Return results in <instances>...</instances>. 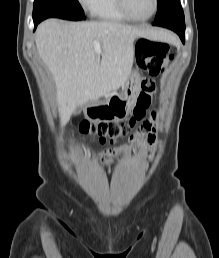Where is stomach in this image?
Returning <instances> with one entry per match:
<instances>
[{"label":"stomach","mask_w":219,"mask_h":258,"mask_svg":"<svg viewBox=\"0 0 219 258\" xmlns=\"http://www.w3.org/2000/svg\"><path fill=\"white\" fill-rule=\"evenodd\" d=\"M141 76L135 69L121 91H112L104 99L90 101L84 109L85 116L96 122L125 119L135 105L140 92Z\"/></svg>","instance_id":"0dacf381"}]
</instances>
